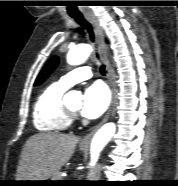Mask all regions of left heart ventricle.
Returning <instances> with one entry per match:
<instances>
[{
  "label": "left heart ventricle",
  "mask_w": 178,
  "mask_h": 186,
  "mask_svg": "<svg viewBox=\"0 0 178 186\" xmlns=\"http://www.w3.org/2000/svg\"><path fill=\"white\" fill-rule=\"evenodd\" d=\"M79 105H69L68 108L73 112H77L79 110Z\"/></svg>",
  "instance_id": "1"
}]
</instances>
